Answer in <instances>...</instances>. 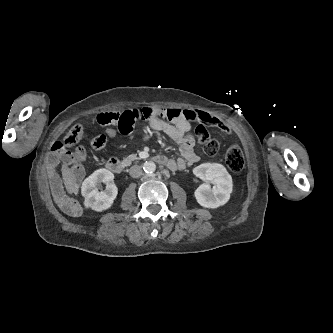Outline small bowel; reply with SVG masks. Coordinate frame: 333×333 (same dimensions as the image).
Returning <instances> with one entry per match:
<instances>
[{
	"label": "small bowel",
	"instance_id": "small-bowel-1",
	"mask_svg": "<svg viewBox=\"0 0 333 333\" xmlns=\"http://www.w3.org/2000/svg\"><path fill=\"white\" fill-rule=\"evenodd\" d=\"M147 111V116L143 120H138L134 116L136 108L126 111L129 114L130 125L127 128L120 130L123 134H128L132 130V126L137 121H145L148 123V132L145 135L147 138L152 132L163 131L172 140H174L180 147L181 158L167 159L165 165L172 169H184L187 164H194L199 161L198 155L194 152V138L189 134L191 124L193 122L202 123L209 126H218L219 129L226 134L231 132V128L224 124L222 120L210 115L209 113L201 110H182L179 108H163L159 106L143 107ZM107 134L114 137L117 131L114 128H108ZM86 158L83 149H78L75 154L65 152L58 156L54 153L51 154L52 170L50 174V185L54 198L57 200L59 206L68 213L76 214L78 209L73 201L68 199L62 191L61 180L54 170V166L58 163L65 165L73 164V171L75 176L80 178L83 176V167L81 162Z\"/></svg>",
	"mask_w": 333,
	"mask_h": 333
}]
</instances>
